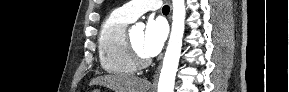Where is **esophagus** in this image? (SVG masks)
Here are the masks:
<instances>
[{"mask_svg":"<svg viewBox=\"0 0 289 92\" xmlns=\"http://www.w3.org/2000/svg\"><path fill=\"white\" fill-rule=\"evenodd\" d=\"M159 69H160V66L158 67V69H157V71L155 72V75H154V79H153V85L154 86H156V83H157Z\"/></svg>","mask_w":289,"mask_h":92,"instance_id":"34e87169","label":"esophagus"}]
</instances>
